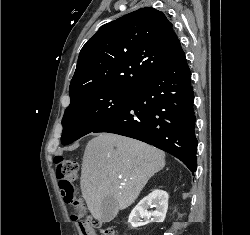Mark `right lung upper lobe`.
Segmentation results:
<instances>
[{
  "label": "right lung upper lobe",
  "mask_w": 250,
  "mask_h": 235,
  "mask_svg": "<svg viewBox=\"0 0 250 235\" xmlns=\"http://www.w3.org/2000/svg\"><path fill=\"white\" fill-rule=\"evenodd\" d=\"M179 43L172 23L150 7L103 25L80 51L71 101L96 90H134L169 63Z\"/></svg>",
  "instance_id": "1"
}]
</instances>
